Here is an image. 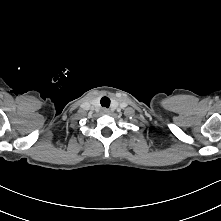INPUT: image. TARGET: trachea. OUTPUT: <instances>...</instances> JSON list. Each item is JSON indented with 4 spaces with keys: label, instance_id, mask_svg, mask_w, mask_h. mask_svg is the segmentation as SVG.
<instances>
[{
    "label": "trachea",
    "instance_id": "trachea-1",
    "mask_svg": "<svg viewBox=\"0 0 221 221\" xmlns=\"http://www.w3.org/2000/svg\"><path fill=\"white\" fill-rule=\"evenodd\" d=\"M100 103L103 107L108 108L110 106V99L106 96L102 97Z\"/></svg>",
    "mask_w": 221,
    "mask_h": 221
}]
</instances>
